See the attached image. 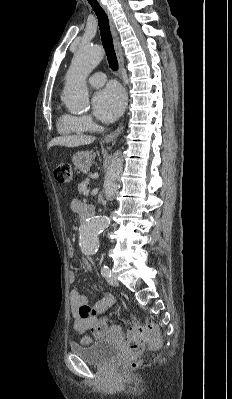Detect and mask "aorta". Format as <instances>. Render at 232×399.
Returning <instances> with one entry per match:
<instances>
[{
    "mask_svg": "<svg viewBox=\"0 0 232 399\" xmlns=\"http://www.w3.org/2000/svg\"><path fill=\"white\" fill-rule=\"evenodd\" d=\"M103 58L100 46H81L76 52L67 73L62 101L71 112H79L89 107V94L86 79ZM121 152L114 153L105 175L104 194L112 200L117 192V181L122 172ZM110 224L107 216H95L83 222L79 228L80 248L86 255H94L99 248L98 236Z\"/></svg>",
    "mask_w": 232,
    "mask_h": 399,
    "instance_id": "obj_1",
    "label": "aorta"
}]
</instances>
